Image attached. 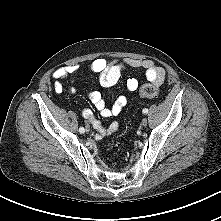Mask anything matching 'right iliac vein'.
<instances>
[{"label": "right iliac vein", "mask_w": 221, "mask_h": 221, "mask_svg": "<svg viewBox=\"0 0 221 221\" xmlns=\"http://www.w3.org/2000/svg\"><path fill=\"white\" fill-rule=\"evenodd\" d=\"M90 130V127L89 126H86V131L88 132Z\"/></svg>", "instance_id": "right-iliac-vein-1"}]
</instances>
